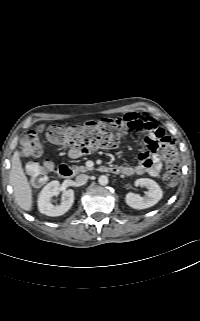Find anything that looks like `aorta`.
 Listing matches in <instances>:
<instances>
[{"instance_id": "1", "label": "aorta", "mask_w": 200, "mask_h": 321, "mask_svg": "<svg viewBox=\"0 0 200 321\" xmlns=\"http://www.w3.org/2000/svg\"><path fill=\"white\" fill-rule=\"evenodd\" d=\"M100 185L105 186L108 184V177L105 175H101L98 179Z\"/></svg>"}]
</instances>
